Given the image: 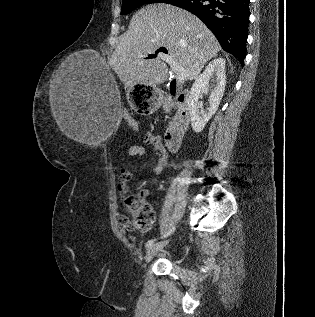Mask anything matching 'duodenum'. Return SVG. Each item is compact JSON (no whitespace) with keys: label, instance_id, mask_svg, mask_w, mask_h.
Segmentation results:
<instances>
[{"label":"duodenum","instance_id":"410a0bca","mask_svg":"<svg viewBox=\"0 0 315 317\" xmlns=\"http://www.w3.org/2000/svg\"><path fill=\"white\" fill-rule=\"evenodd\" d=\"M166 101L168 105H174L176 108L174 120L165 133V141L168 149L175 152L180 147L184 134L190 124L187 95L180 90L177 79L171 81Z\"/></svg>","mask_w":315,"mask_h":317}]
</instances>
